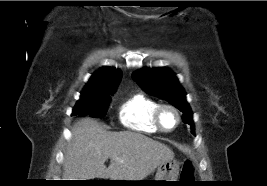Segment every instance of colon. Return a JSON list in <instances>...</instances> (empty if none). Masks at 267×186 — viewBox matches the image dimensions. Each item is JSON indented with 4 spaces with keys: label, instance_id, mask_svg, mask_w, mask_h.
<instances>
[{
    "label": "colon",
    "instance_id": "colon-1",
    "mask_svg": "<svg viewBox=\"0 0 267 186\" xmlns=\"http://www.w3.org/2000/svg\"><path fill=\"white\" fill-rule=\"evenodd\" d=\"M181 180L191 181L194 178V165L191 161L186 160L182 166L181 170Z\"/></svg>",
    "mask_w": 267,
    "mask_h": 186
}]
</instances>
